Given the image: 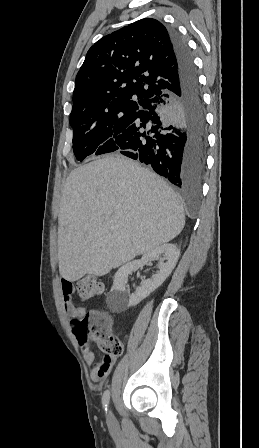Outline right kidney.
<instances>
[{
    "label": "right kidney",
    "mask_w": 259,
    "mask_h": 448,
    "mask_svg": "<svg viewBox=\"0 0 259 448\" xmlns=\"http://www.w3.org/2000/svg\"><path fill=\"white\" fill-rule=\"evenodd\" d=\"M179 254L180 252L174 244H163V246L155 248L152 252L144 254L141 260H134V262H129V264L119 268L114 276L113 286L106 298L107 306L111 312H115V314L125 312L127 308L137 306L141 300H144L151 292L157 290L174 270ZM153 260H159V272L153 274L149 280H143L141 286L136 288V292L129 294L128 286H126L129 274L136 272V270L145 266L147 262H153ZM164 260H167L166 264H164Z\"/></svg>",
    "instance_id": "obj_1"
}]
</instances>
